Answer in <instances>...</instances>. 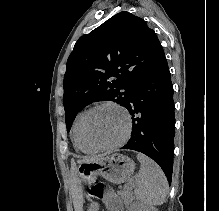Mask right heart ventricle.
Masks as SVG:
<instances>
[{"label": "right heart ventricle", "instance_id": "e07e8e85", "mask_svg": "<svg viewBox=\"0 0 219 211\" xmlns=\"http://www.w3.org/2000/svg\"><path fill=\"white\" fill-rule=\"evenodd\" d=\"M84 112H80L76 115L73 124H72V129H71V135H72V140L73 144L76 148L79 150L86 152V153H93L95 152L94 149L86 145L80 135V122L81 118L83 116Z\"/></svg>", "mask_w": 219, "mask_h": 211}]
</instances>
